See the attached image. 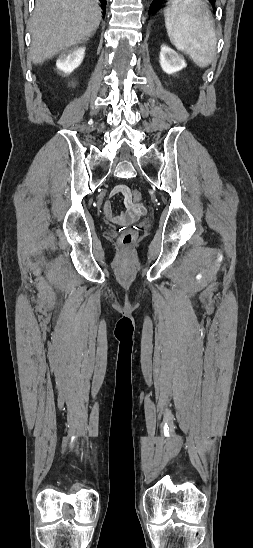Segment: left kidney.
<instances>
[{
    "label": "left kidney",
    "instance_id": "5707ae66",
    "mask_svg": "<svg viewBox=\"0 0 253 548\" xmlns=\"http://www.w3.org/2000/svg\"><path fill=\"white\" fill-rule=\"evenodd\" d=\"M160 66L167 74H173L186 67L185 60L167 45L161 46Z\"/></svg>",
    "mask_w": 253,
    "mask_h": 548
}]
</instances>
